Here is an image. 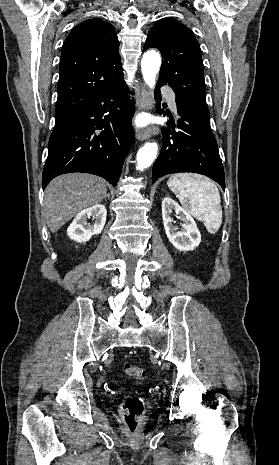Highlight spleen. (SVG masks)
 <instances>
[{
	"mask_svg": "<svg viewBox=\"0 0 279 465\" xmlns=\"http://www.w3.org/2000/svg\"><path fill=\"white\" fill-rule=\"evenodd\" d=\"M183 207L195 218L201 220L208 232L215 234L222 223L220 193L213 181L197 175L180 173L167 181Z\"/></svg>",
	"mask_w": 279,
	"mask_h": 465,
	"instance_id": "spleen-1",
	"label": "spleen"
}]
</instances>
